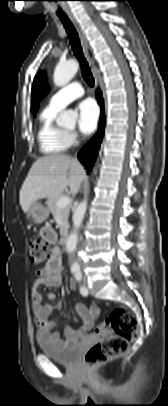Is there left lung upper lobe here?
Segmentation results:
<instances>
[{
    "label": "left lung upper lobe",
    "instance_id": "left-lung-upper-lobe-1",
    "mask_svg": "<svg viewBox=\"0 0 168 406\" xmlns=\"http://www.w3.org/2000/svg\"><path fill=\"white\" fill-rule=\"evenodd\" d=\"M48 91V87L44 81V76L42 73H39L32 85V102L39 101ZM32 103V109L34 104Z\"/></svg>",
    "mask_w": 168,
    "mask_h": 406
}]
</instances>
